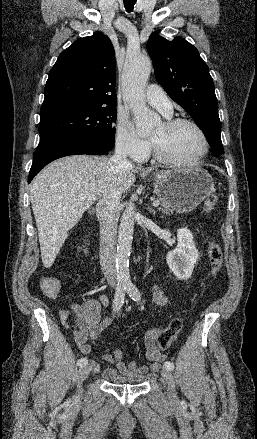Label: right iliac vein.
I'll list each match as a JSON object with an SVG mask.
<instances>
[{
    "label": "right iliac vein",
    "instance_id": "1",
    "mask_svg": "<svg viewBox=\"0 0 257 439\" xmlns=\"http://www.w3.org/2000/svg\"><path fill=\"white\" fill-rule=\"evenodd\" d=\"M91 371V368L89 365H85L81 367L79 371V377H78V383H79V393H81V383L87 378Z\"/></svg>",
    "mask_w": 257,
    "mask_h": 439
}]
</instances>
